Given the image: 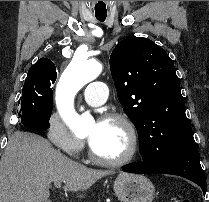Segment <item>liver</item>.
Returning <instances> with one entry per match:
<instances>
[{
  "label": "liver",
  "instance_id": "1",
  "mask_svg": "<svg viewBox=\"0 0 209 202\" xmlns=\"http://www.w3.org/2000/svg\"><path fill=\"white\" fill-rule=\"evenodd\" d=\"M109 174L69 159L39 135L17 131L0 161V202H45L53 182L79 193Z\"/></svg>",
  "mask_w": 209,
  "mask_h": 202
}]
</instances>
